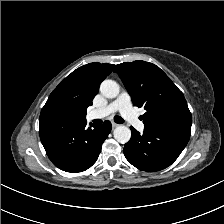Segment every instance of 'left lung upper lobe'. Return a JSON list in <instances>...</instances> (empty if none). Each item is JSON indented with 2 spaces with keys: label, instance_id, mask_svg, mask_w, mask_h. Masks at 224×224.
<instances>
[{
  "label": "left lung upper lobe",
  "instance_id": "left-lung-upper-lobe-1",
  "mask_svg": "<svg viewBox=\"0 0 224 224\" xmlns=\"http://www.w3.org/2000/svg\"><path fill=\"white\" fill-rule=\"evenodd\" d=\"M114 71L137 107L146 113L145 127L191 134L192 116L183 93L156 65L145 61L116 65Z\"/></svg>",
  "mask_w": 224,
  "mask_h": 224
}]
</instances>
